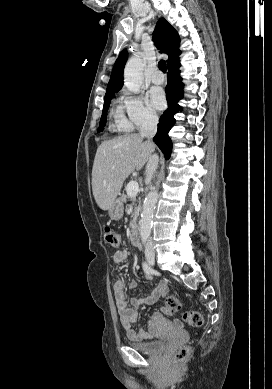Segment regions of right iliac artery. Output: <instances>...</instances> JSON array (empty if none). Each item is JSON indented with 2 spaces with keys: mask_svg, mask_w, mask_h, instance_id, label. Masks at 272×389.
<instances>
[{
  "mask_svg": "<svg viewBox=\"0 0 272 389\" xmlns=\"http://www.w3.org/2000/svg\"><path fill=\"white\" fill-rule=\"evenodd\" d=\"M144 272L148 275L151 276L153 274L152 268L147 264V262H143L142 264Z\"/></svg>",
  "mask_w": 272,
  "mask_h": 389,
  "instance_id": "82829eb1",
  "label": "right iliac artery"
}]
</instances>
